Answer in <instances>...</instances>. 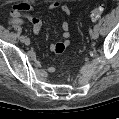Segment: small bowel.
<instances>
[{
	"mask_svg": "<svg viewBox=\"0 0 119 119\" xmlns=\"http://www.w3.org/2000/svg\"><path fill=\"white\" fill-rule=\"evenodd\" d=\"M47 8L50 10L59 9L67 18L71 14L70 8L66 4H62L60 2H52L48 4ZM32 10H34V6L29 3H20L18 5H15L12 9V17L10 22L12 24L20 25L28 21L31 24V28L34 34L38 35L42 28V22L39 18L27 14V12ZM69 36L70 22L68 20H65L62 23V37L64 38V41L52 44L50 47L51 50L56 54L62 53L65 50V48L69 45ZM48 70L51 73L55 71L53 66H49Z\"/></svg>",
	"mask_w": 119,
	"mask_h": 119,
	"instance_id": "small-bowel-1",
	"label": "small bowel"
}]
</instances>
